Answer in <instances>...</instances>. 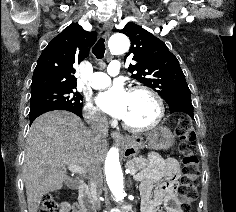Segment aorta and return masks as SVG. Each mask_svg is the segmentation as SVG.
<instances>
[{
  "mask_svg": "<svg viewBox=\"0 0 236 212\" xmlns=\"http://www.w3.org/2000/svg\"><path fill=\"white\" fill-rule=\"evenodd\" d=\"M109 49L115 55L123 54L129 50L130 42L125 34H114L109 39ZM105 175L108 187L116 201L124 205L125 192L123 173L119 161V151L113 147L109 150L105 160Z\"/></svg>",
  "mask_w": 236,
  "mask_h": 212,
  "instance_id": "1",
  "label": "aorta"
}]
</instances>
